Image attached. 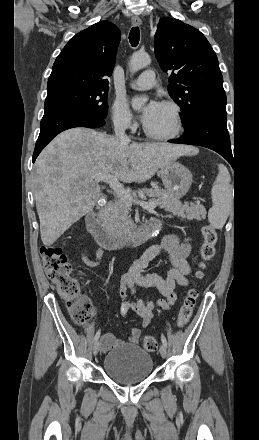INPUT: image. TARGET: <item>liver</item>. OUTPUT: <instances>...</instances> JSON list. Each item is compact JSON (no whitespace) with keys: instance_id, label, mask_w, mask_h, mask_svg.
Wrapping results in <instances>:
<instances>
[{"instance_id":"obj_1","label":"liver","mask_w":259,"mask_h":440,"mask_svg":"<svg viewBox=\"0 0 259 440\" xmlns=\"http://www.w3.org/2000/svg\"><path fill=\"white\" fill-rule=\"evenodd\" d=\"M196 153L184 145L123 143L84 127L60 133L35 163L34 199L43 244L52 245L94 208L101 197L94 175H115L124 183H141L171 160Z\"/></svg>"}]
</instances>
